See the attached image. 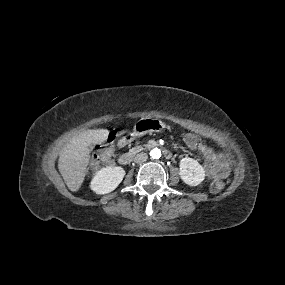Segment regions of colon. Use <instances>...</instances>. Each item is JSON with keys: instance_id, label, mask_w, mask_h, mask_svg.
<instances>
[{"instance_id": "colon-1", "label": "colon", "mask_w": 285, "mask_h": 285, "mask_svg": "<svg viewBox=\"0 0 285 285\" xmlns=\"http://www.w3.org/2000/svg\"><path fill=\"white\" fill-rule=\"evenodd\" d=\"M186 144L191 148L201 149L204 146V141L192 134H186L184 137ZM111 140L108 145L99 148L93 156L90 169L95 170L100 167L109 166L112 164V151L110 147ZM227 184V175L218 177L211 184L212 192L221 191Z\"/></svg>"}]
</instances>
